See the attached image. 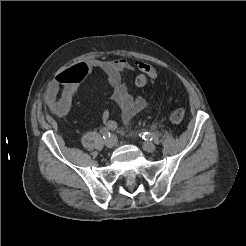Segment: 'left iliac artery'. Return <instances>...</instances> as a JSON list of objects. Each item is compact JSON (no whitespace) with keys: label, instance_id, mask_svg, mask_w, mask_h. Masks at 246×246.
Returning <instances> with one entry per match:
<instances>
[{"label":"left iliac artery","instance_id":"obj_1","mask_svg":"<svg viewBox=\"0 0 246 246\" xmlns=\"http://www.w3.org/2000/svg\"><path fill=\"white\" fill-rule=\"evenodd\" d=\"M141 136H142V138L144 139V140H152V139H154V137H155V134L154 133H152V132H143V133H141Z\"/></svg>","mask_w":246,"mask_h":246}]
</instances>
